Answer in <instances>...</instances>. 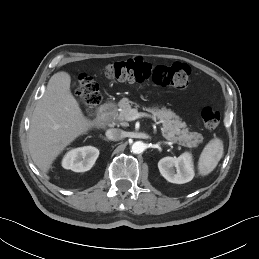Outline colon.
Here are the masks:
<instances>
[{"instance_id":"5ec220e1","label":"colon","mask_w":259,"mask_h":259,"mask_svg":"<svg viewBox=\"0 0 259 259\" xmlns=\"http://www.w3.org/2000/svg\"><path fill=\"white\" fill-rule=\"evenodd\" d=\"M107 78L120 82L141 83L151 80L161 87L182 90L189 84L190 68L183 63L153 65L140 58L107 64L104 68ZM76 93L84 108L93 113L101 101L96 81L87 74H80L76 81ZM205 128L213 130L220 123V112L206 107L201 112Z\"/></svg>"}]
</instances>
